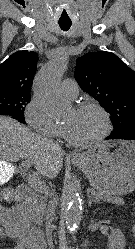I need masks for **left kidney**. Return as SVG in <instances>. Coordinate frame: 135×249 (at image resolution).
Listing matches in <instances>:
<instances>
[{
    "label": "left kidney",
    "instance_id": "left-kidney-1",
    "mask_svg": "<svg viewBox=\"0 0 135 249\" xmlns=\"http://www.w3.org/2000/svg\"><path fill=\"white\" fill-rule=\"evenodd\" d=\"M125 236L121 230H112L108 238V249H124L125 248Z\"/></svg>",
    "mask_w": 135,
    "mask_h": 249
}]
</instances>
